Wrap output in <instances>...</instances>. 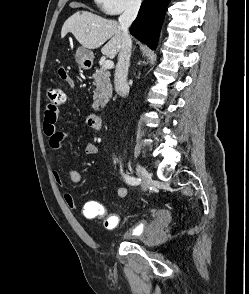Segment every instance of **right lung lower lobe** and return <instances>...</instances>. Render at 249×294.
I'll list each match as a JSON object with an SVG mask.
<instances>
[{
	"mask_svg": "<svg viewBox=\"0 0 249 294\" xmlns=\"http://www.w3.org/2000/svg\"><path fill=\"white\" fill-rule=\"evenodd\" d=\"M170 0H144L130 33L138 40L155 49Z\"/></svg>",
	"mask_w": 249,
	"mask_h": 294,
	"instance_id": "1",
	"label": "right lung lower lobe"
}]
</instances>
